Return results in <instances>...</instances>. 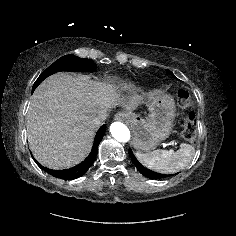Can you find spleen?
<instances>
[{
  "mask_svg": "<svg viewBox=\"0 0 236 236\" xmlns=\"http://www.w3.org/2000/svg\"><path fill=\"white\" fill-rule=\"evenodd\" d=\"M195 154L192 145L181 143L176 152L168 150H155L150 153L137 152L139 161L147 168L159 173H174L186 167Z\"/></svg>",
  "mask_w": 236,
  "mask_h": 236,
  "instance_id": "obj_1",
  "label": "spleen"
}]
</instances>
